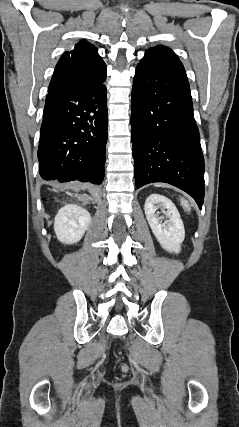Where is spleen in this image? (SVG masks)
I'll list each match as a JSON object with an SVG mask.
<instances>
[{
	"mask_svg": "<svg viewBox=\"0 0 239 427\" xmlns=\"http://www.w3.org/2000/svg\"><path fill=\"white\" fill-rule=\"evenodd\" d=\"M181 204L187 211H190V204L186 199L181 198Z\"/></svg>",
	"mask_w": 239,
	"mask_h": 427,
	"instance_id": "3e777b00",
	"label": "spleen"
}]
</instances>
